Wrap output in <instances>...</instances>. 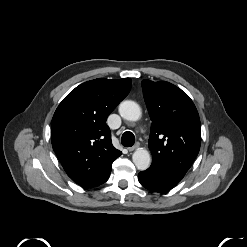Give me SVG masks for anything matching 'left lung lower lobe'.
<instances>
[{
    "label": "left lung lower lobe",
    "mask_w": 247,
    "mask_h": 247,
    "mask_svg": "<svg viewBox=\"0 0 247 247\" xmlns=\"http://www.w3.org/2000/svg\"><path fill=\"white\" fill-rule=\"evenodd\" d=\"M138 180L142 186L153 192H166L171 190L177 183L171 181L165 176L152 171L145 170L138 174Z\"/></svg>",
    "instance_id": "0a47b994"
}]
</instances>
